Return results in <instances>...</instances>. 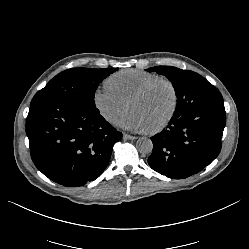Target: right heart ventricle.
Returning a JSON list of instances; mask_svg holds the SVG:
<instances>
[{
    "label": "right heart ventricle",
    "instance_id": "e07e8e85",
    "mask_svg": "<svg viewBox=\"0 0 249 249\" xmlns=\"http://www.w3.org/2000/svg\"><path fill=\"white\" fill-rule=\"evenodd\" d=\"M160 77L159 74L154 72L140 69H125L108 76L105 80V86L127 102L141 87Z\"/></svg>",
    "mask_w": 249,
    "mask_h": 249
}]
</instances>
